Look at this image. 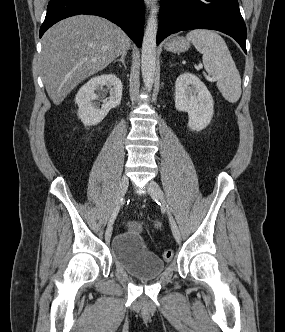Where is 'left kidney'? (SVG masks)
I'll return each mask as SVG.
<instances>
[{"instance_id":"left-kidney-1","label":"left kidney","mask_w":285,"mask_h":332,"mask_svg":"<svg viewBox=\"0 0 285 332\" xmlns=\"http://www.w3.org/2000/svg\"><path fill=\"white\" fill-rule=\"evenodd\" d=\"M213 98L205 84L194 74L184 72L175 82V107L188 113V127L193 131L206 128L214 113Z\"/></svg>"}]
</instances>
